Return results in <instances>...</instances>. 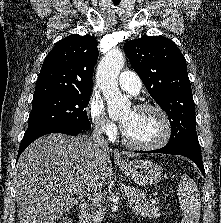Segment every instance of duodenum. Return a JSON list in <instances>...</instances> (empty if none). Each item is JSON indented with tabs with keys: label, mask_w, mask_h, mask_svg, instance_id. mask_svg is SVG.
Segmentation results:
<instances>
[{
	"label": "duodenum",
	"mask_w": 221,
	"mask_h": 223,
	"mask_svg": "<svg viewBox=\"0 0 221 223\" xmlns=\"http://www.w3.org/2000/svg\"><path fill=\"white\" fill-rule=\"evenodd\" d=\"M88 206L86 203H80L77 209L78 219L81 223H85V216L88 213Z\"/></svg>",
	"instance_id": "duodenum-1"
}]
</instances>
